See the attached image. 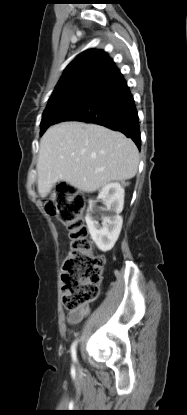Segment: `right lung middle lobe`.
<instances>
[{
    "mask_svg": "<svg viewBox=\"0 0 187 415\" xmlns=\"http://www.w3.org/2000/svg\"><path fill=\"white\" fill-rule=\"evenodd\" d=\"M63 99L60 101H57L56 103H54L53 105H51L50 107L46 108L43 116H42V121H41V131H40V135H42L46 129L49 127L50 125V115L53 111H55L57 109V107L62 103Z\"/></svg>",
    "mask_w": 187,
    "mask_h": 415,
    "instance_id": "obj_1",
    "label": "right lung middle lobe"
}]
</instances>
